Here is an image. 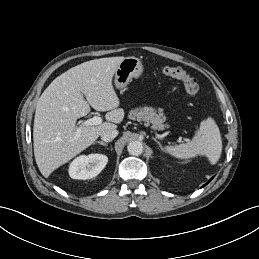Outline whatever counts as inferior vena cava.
Wrapping results in <instances>:
<instances>
[{"label": "inferior vena cava", "mask_w": 259, "mask_h": 259, "mask_svg": "<svg viewBox=\"0 0 259 259\" xmlns=\"http://www.w3.org/2000/svg\"><path fill=\"white\" fill-rule=\"evenodd\" d=\"M118 135V131L116 129H109L104 131L101 134V139L105 142L112 141Z\"/></svg>", "instance_id": "1"}]
</instances>
